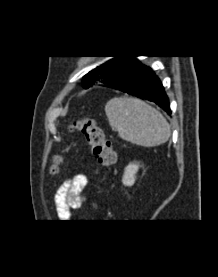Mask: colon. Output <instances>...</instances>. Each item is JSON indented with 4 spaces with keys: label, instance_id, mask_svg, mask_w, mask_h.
Listing matches in <instances>:
<instances>
[{
    "label": "colon",
    "instance_id": "5ec220e1",
    "mask_svg": "<svg viewBox=\"0 0 218 277\" xmlns=\"http://www.w3.org/2000/svg\"><path fill=\"white\" fill-rule=\"evenodd\" d=\"M71 127L82 133L92 156L101 168L109 167L115 163L116 152L94 119L89 117L80 118ZM58 162L59 160H56V163Z\"/></svg>",
    "mask_w": 218,
    "mask_h": 277
}]
</instances>
